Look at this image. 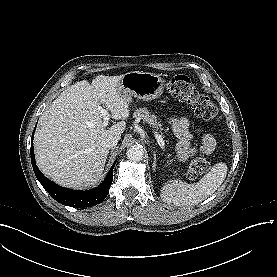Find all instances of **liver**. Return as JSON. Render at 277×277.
I'll return each mask as SVG.
<instances>
[{"instance_id": "liver-1", "label": "liver", "mask_w": 277, "mask_h": 277, "mask_svg": "<svg viewBox=\"0 0 277 277\" xmlns=\"http://www.w3.org/2000/svg\"><path fill=\"white\" fill-rule=\"evenodd\" d=\"M123 75H99L90 84L76 82L65 89L41 115L34 136L39 169L57 184L75 189L94 186L104 171L108 137L119 140L129 117V105L119 93ZM104 105L115 120L102 127L99 107Z\"/></svg>"}]
</instances>
